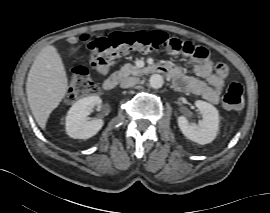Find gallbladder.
Returning <instances> with one entry per match:
<instances>
[{
	"label": "gallbladder",
	"mask_w": 270,
	"mask_h": 213,
	"mask_svg": "<svg viewBox=\"0 0 270 213\" xmlns=\"http://www.w3.org/2000/svg\"><path fill=\"white\" fill-rule=\"evenodd\" d=\"M70 42H71V43H75V40H74V39H70Z\"/></svg>",
	"instance_id": "obj_1"
}]
</instances>
